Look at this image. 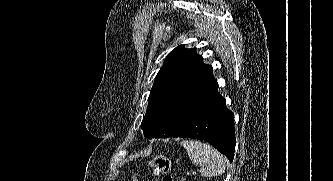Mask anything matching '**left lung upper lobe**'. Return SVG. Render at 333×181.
<instances>
[{"instance_id": "obj_1", "label": "left lung upper lobe", "mask_w": 333, "mask_h": 181, "mask_svg": "<svg viewBox=\"0 0 333 181\" xmlns=\"http://www.w3.org/2000/svg\"><path fill=\"white\" fill-rule=\"evenodd\" d=\"M195 51L180 45L168 54L154 81L141 123L145 137L177 134L217 89L213 68L204 64Z\"/></svg>"}]
</instances>
